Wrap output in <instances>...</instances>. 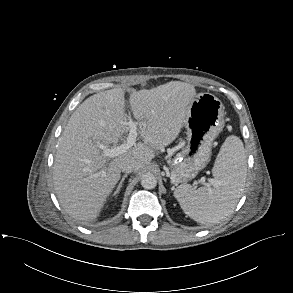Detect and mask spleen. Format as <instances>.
Returning a JSON list of instances; mask_svg holds the SVG:
<instances>
[{
  "label": "spleen",
  "instance_id": "3e777b00",
  "mask_svg": "<svg viewBox=\"0 0 293 293\" xmlns=\"http://www.w3.org/2000/svg\"><path fill=\"white\" fill-rule=\"evenodd\" d=\"M246 173L243 143L238 137L229 136L215 160L210 183L198 189L182 184L175 189L174 197L196 222L219 223L234 211L244 190Z\"/></svg>",
  "mask_w": 293,
  "mask_h": 293
}]
</instances>
